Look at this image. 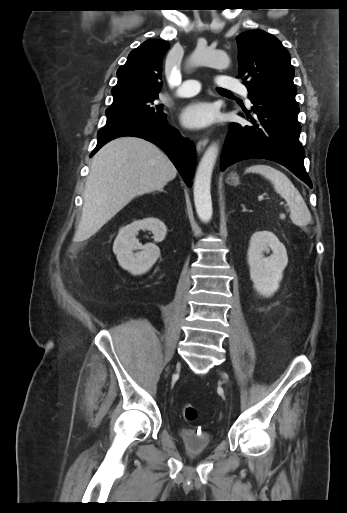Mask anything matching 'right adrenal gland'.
<instances>
[{"label":"right adrenal gland","instance_id":"right-adrenal-gland-1","mask_svg":"<svg viewBox=\"0 0 347 513\" xmlns=\"http://www.w3.org/2000/svg\"><path fill=\"white\" fill-rule=\"evenodd\" d=\"M160 192H164V193H166V191H164V190H160Z\"/></svg>","mask_w":347,"mask_h":513}]
</instances>
